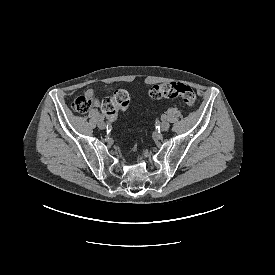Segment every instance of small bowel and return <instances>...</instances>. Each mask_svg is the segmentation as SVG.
Wrapping results in <instances>:
<instances>
[{"label": "small bowel", "instance_id": "c3829d8e", "mask_svg": "<svg viewBox=\"0 0 275 275\" xmlns=\"http://www.w3.org/2000/svg\"><path fill=\"white\" fill-rule=\"evenodd\" d=\"M107 90H110V88H107ZM86 95L89 96L92 99L93 105L95 107H100V101L93 97V91L91 89L86 91Z\"/></svg>", "mask_w": 275, "mask_h": 275}]
</instances>
